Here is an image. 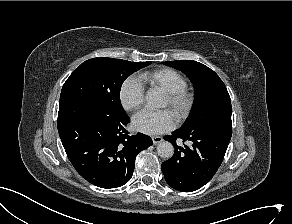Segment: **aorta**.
I'll return each mask as SVG.
<instances>
[{"instance_id": "1", "label": "aorta", "mask_w": 292, "mask_h": 224, "mask_svg": "<svg viewBox=\"0 0 292 224\" xmlns=\"http://www.w3.org/2000/svg\"><path fill=\"white\" fill-rule=\"evenodd\" d=\"M146 103L151 108H157L161 104V94L158 91L149 90L145 97ZM157 153L162 158H171L174 154V147L168 141H162L157 146Z\"/></svg>"}]
</instances>
